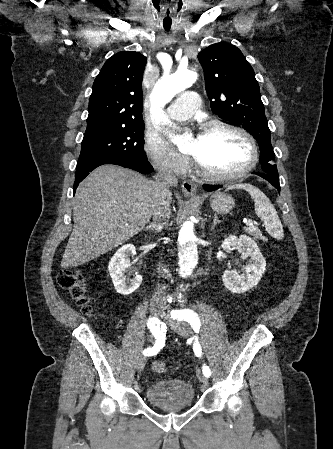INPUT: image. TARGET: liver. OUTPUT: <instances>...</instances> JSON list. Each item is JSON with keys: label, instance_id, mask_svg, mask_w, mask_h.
<instances>
[{"label": "liver", "instance_id": "obj_1", "mask_svg": "<svg viewBox=\"0 0 333 449\" xmlns=\"http://www.w3.org/2000/svg\"><path fill=\"white\" fill-rule=\"evenodd\" d=\"M156 200L154 181L122 167L96 168L75 192L74 229L61 265L83 264L128 241L149 222Z\"/></svg>", "mask_w": 333, "mask_h": 449}]
</instances>
